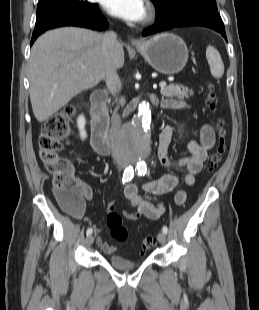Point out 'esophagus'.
<instances>
[{
	"instance_id": "obj_1",
	"label": "esophagus",
	"mask_w": 259,
	"mask_h": 310,
	"mask_svg": "<svg viewBox=\"0 0 259 310\" xmlns=\"http://www.w3.org/2000/svg\"><path fill=\"white\" fill-rule=\"evenodd\" d=\"M130 42L132 45H135V46L139 45V41L137 39H131Z\"/></svg>"
}]
</instances>
